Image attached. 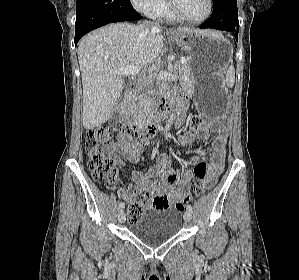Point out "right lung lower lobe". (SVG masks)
<instances>
[{
  "mask_svg": "<svg viewBox=\"0 0 299 280\" xmlns=\"http://www.w3.org/2000/svg\"><path fill=\"white\" fill-rule=\"evenodd\" d=\"M141 19L130 0H77L75 45L89 31L113 22Z\"/></svg>",
  "mask_w": 299,
  "mask_h": 280,
  "instance_id": "1",
  "label": "right lung lower lobe"
}]
</instances>
